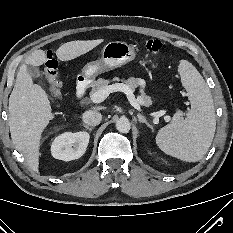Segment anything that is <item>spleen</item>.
<instances>
[{
	"label": "spleen",
	"instance_id": "obj_1",
	"mask_svg": "<svg viewBox=\"0 0 233 233\" xmlns=\"http://www.w3.org/2000/svg\"><path fill=\"white\" fill-rule=\"evenodd\" d=\"M179 73L191 108L187 118L180 117L181 113L177 112L172 122L159 130L156 144L167 155L196 162L204 157L214 138V101L205 80L190 62L182 60Z\"/></svg>",
	"mask_w": 233,
	"mask_h": 233
}]
</instances>
